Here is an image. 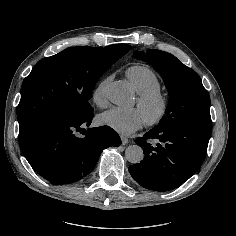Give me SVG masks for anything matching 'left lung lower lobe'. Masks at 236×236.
<instances>
[{"mask_svg":"<svg viewBox=\"0 0 236 236\" xmlns=\"http://www.w3.org/2000/svg\"><path fill=\"white\" fill-rule=\"evenodd\" d=\"M211 127L180 125L153 128L135 142L143 148L144 159L129 167L131 176L144 188L172 190L194 175L207 151ZM155 140L156 147L152 143Z\"/></svg>","mask_w":236,"mask_h":236,"instance_id":"0a47b994","label":"left lung lower lobe"}]
</instances>
